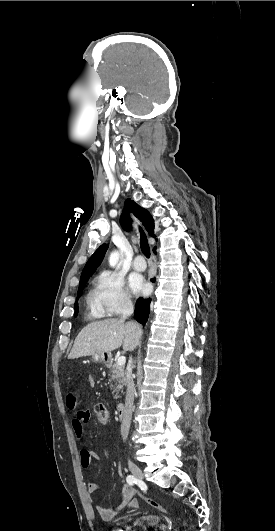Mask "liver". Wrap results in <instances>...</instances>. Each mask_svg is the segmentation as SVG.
<instances>
[{"mask_svg": "<svg viewBox=\"0 0 275 531\" xmlns=\"http://www.w3.org/2000/svg\"><path fill=\"white\" fill-rule=\"evenodd\" d=\"M141 335V325L138 323H125L124 319L94 321L86 325L76 337L71 353H69V359L115 351L121 345H123V351H133Z\"/></svg>", "mask_w": 275, "mask_h": 531, "instance_id": "obj_1", "label": "liver"}]
</instances>
